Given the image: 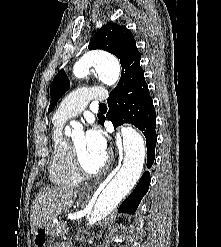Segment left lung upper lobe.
<instances>
[{
    "label": "left lung upper lobe",
    "instance_id": "5c2ea615",
    "mask_svg": "<svg viewBox=\"0 0 221 247\" xmlns=\"http://www.w3.org/2000/svg\"><path fill=\"white\" fill-rule=\"evenodd\" d=\"M88 48L108 51L120 59L121 78L117 87L111 91L112 94L126 97L148 89L143 69L140 66L141 54L136 47L133 34L125 26L116 23L103 26L93 36ZM69 84L65 71L60 70L50 86L49 112L53 110L59 98L69 89ZM101 117L102 115H98L99 119Z\"/></svg>",
    "mask_w": 221,
    "mask_h": 247
}]
</instances>
